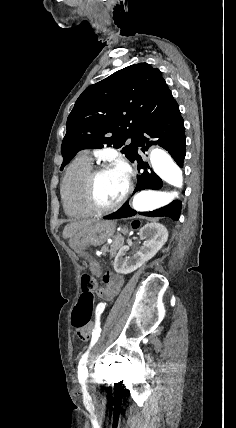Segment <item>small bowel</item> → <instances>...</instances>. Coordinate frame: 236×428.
Masks as SVG:
<instances>
[{
	"mask_svg": "<svg viewBox=\"0 0 236 428\" xmlns=\"http://www.w3.org/2000/svg\"><path fill=\"white\" fill-rule=\"evenodd\" d=\"M105 286L98 290V295L103 299L96 306V310L103 312L106 304L113 301L123 285V278L118 274H108L104 277ZM82 339H87L91 333V326H87L82 330L77 331Z\"/></svg>",
	"mask_w": 236,
	"mask_h": 428,
	"instance_id": "obj_1",
	"label": "small bowel"
}]
</instances>
